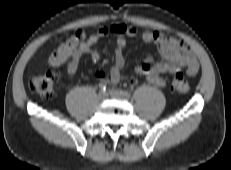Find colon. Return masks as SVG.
Returning <instances> with one entry per match:
<instances>
[{"label":"colon","mask_w":231,"mask_h":170,"mask_svg":"<svg viewBox=\"0 0 231 170\" xmlns=\"http://www.w3.org/2000/svg\"><path fill=\"white\" fill-rule=\"evenodd\" d=\"M85 37L86 35L83 31H78L66 41L62 42L50 55L49 64L51 66H61L66 63ZM56 79L57 76L53 71L47 70L40 72L30 80L29 89L41 98L49 100L54 94ZM170 89L172 92L178 94L188 92L189 83L182 73L175 74L170 84Z\"/></svg>","instance_id":"5ec220e1"}]
</instances>
